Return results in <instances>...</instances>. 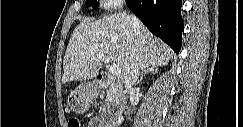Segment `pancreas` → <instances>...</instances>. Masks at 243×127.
Masks as SVG:
<instances>
[{
    "mask_svg": "<svg viewBox=\"0 0 243 127\" xmlns=\"http://www.w3.org/2000/svg\"><path fill=\"white\" fill-rule=\"evenodd\" d=\"M107 101L108 102H114L116 100V94L112 93L110 91H107V95H106Z\"/></svg>",
    "mask_w": 243,
    "mask_h": 127,
    "instance_id": "pancreas-1",
    "label": "pancreas"
}]
</instances>
